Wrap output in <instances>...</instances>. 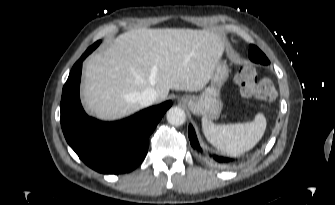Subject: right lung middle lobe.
Returning a JSON list of instances; mask_svg holds the SVG:
<instances>
[{"label": "right lung middle lobe", "instance_id": "1", "mask_svg": "<svg viewBox=\"0 0 335 205\" xmlns=\"http://www.w3.org/2000/svg\"><path fill=\"white\" fill-rule=\"evenodd\" d=\"M100 44V41L96 42L95 44H93L91 47H89L87 50L89 51V53H91L98 45Z\"/></svg>", "mask_w": 335, "mask_h": 205}]
</instances>
